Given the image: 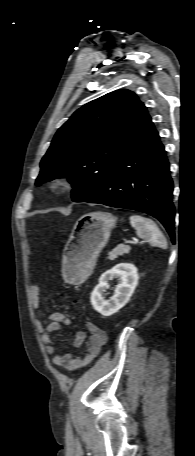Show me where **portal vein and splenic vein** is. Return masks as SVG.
I'll use <instances>...</instances> for the list:
<instances>
[{"label": "portal vein and splenic vein", "mask_w": 195, "mask_h": 456, "mask_svg": "<svg viewBox=\"0 0 195 456\" xmlns=\"http://www.w3.org/2000/svg\"><path fill=\"white\" fill-rule=\"evenodd\" d=\"M125 243H127V244H134V243H135V240H126Z\"/></svg>", "instance_id": "1"}]
</instances>
